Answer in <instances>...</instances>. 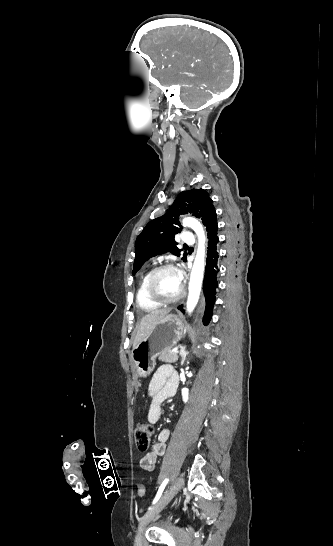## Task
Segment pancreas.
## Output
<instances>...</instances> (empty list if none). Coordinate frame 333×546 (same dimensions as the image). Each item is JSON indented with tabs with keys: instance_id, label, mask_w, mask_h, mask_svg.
Returning <instances> with one entry per match:
<instances>
[{
	"instance_id": "cf45deb5",
	"label": "pancreas",
	"mask_w": 333,
	"mask_h": 546,
	"mask_svg": "<svg viewBox=\"0 0 333 546\" xmlns=\"http://www.w3.org/2000/svg\"><path fill=\"white\" fill-rule=\"evenodd\" d=\"M159 360L161 362L175 363L178 360V355L174 352H162L159 355Z\"/></svg>"
}]
</instances>
